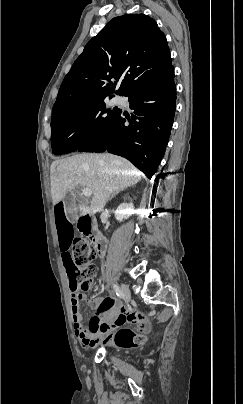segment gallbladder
Here are the masks:
<instances>
[{"mask_svg": "<svg viewBox=\"0 0 243 404\" xmlns=\"http://www.w3.org/2000/svg\"><path fill=\"white\" fill-rule=\"evenodd\" d=\"M76 194L71 192H67V194H65V198L63 200L64 204H65V211H66V218L68 219V223L70 225H73L75 223V218H76V213L74 212V207L77 206V201H76Z\"/></svg>", "mask_w": 243, "mask_h": 404, "instance_id": "1", "label": "gallbladder"}]
</instances>
